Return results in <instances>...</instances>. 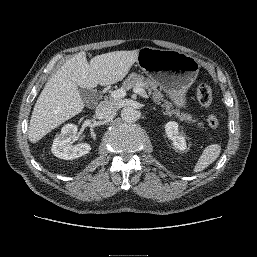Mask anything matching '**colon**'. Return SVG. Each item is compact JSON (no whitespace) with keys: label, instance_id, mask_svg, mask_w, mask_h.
I'll return each instance as SVG.
<instances>
[{"label":"colon","instance_id":"colon-1","mask_svg":"<svg viewBox=\"0 0 257 257\" xmlns=\"http://www.w3.org/2000/svg\"><path fill=\"white\" fill-rule=\"evenodd\" d=\"M197 99L199 103L204 107H209L212 103L213 92L210 85L202 83L197 88ZM207 123L211 128H216L219 124L218 117L214 114L207 116Z\"/></svg>","mask_w":257,"mask_h":257}]
</instances>
